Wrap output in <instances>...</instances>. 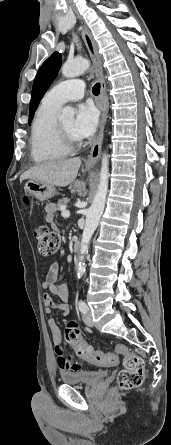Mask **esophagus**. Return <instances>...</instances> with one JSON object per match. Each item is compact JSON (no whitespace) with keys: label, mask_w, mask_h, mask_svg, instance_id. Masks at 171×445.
Instances as JSON below:
<instances>
[{"label":"esophagus","mask_w":171,"mask_h":445,"mask_svg":"<svg viewBox=\"0 0 171 445\" xmlns=\"http://www.w3.org/2000/svg\"><path fill=\"white\" fill-rule=\"evenodd\" d=\"M81 33H82V37L85 42V45H86L88 52L90 54V57L92 59L93 67L96 71L97 77L101 83V94H100V99H99V103H98V106L101 110V119H100L99 133H98L97 139L92 145V148L90 150V153L88 155V159H87L86 165H85L86 170H89L96 164V162L98 161V159L100 157L102 141H103V137H104V127H105V123L107 120L109 102H108V96L106 93V82H105V77H104L103 69H102V60L98 53L97 45H96L90 31L85 26H83L81 28Z\"/></svg>","instance_id":"obj_1"}]
</instances>
